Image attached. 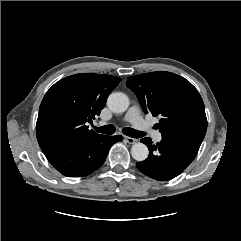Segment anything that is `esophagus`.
Instances as JSON below:
<instances>
[{
    "label": "esophagus",
    "instance_id": "esophagus-1",
    "mask_svg": "<svg viewBox=\"0 0 241 241\" xmlns=\"http://www.w3.org/2000/svg\"><path fill=\"white\" fill-rule=\"evenodd\" d=\"M125 140L129 143V144H134L137 142V139L132 138V137H125Z\"/></svg>",
    "mask_w": 241,
    "mask_h": 241
}]
</instances>
